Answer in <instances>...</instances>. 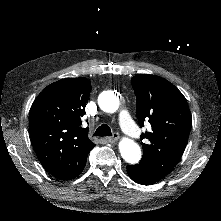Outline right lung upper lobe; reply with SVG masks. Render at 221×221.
Segmentation results:
<instances>
[{"label":"right lung upper lobe","instance_id":"obj_1","mask_svg":"<svg viewBox=\"0 0 221 221\" xmlns=\"http://www.w3.org/2000/svg\"><path fill=\"white\" fill-rule=\"evenodd\" d=\"M86 78H67L48 85L30 109L29 130L42 166L60 180L75 178L95 146L81 117L89 99Z\"/></svg>","mask_w":221,"mask_h":221}]
</instances>
